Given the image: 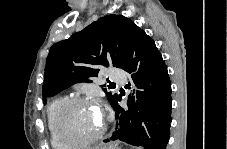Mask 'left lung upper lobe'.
I'll use <instances>...</instances> for the list:
<instances>
[{
  "label": "left lung upper lobe",
  "mask_w": 227,
  "mask_h": 149,
  "mask_svg": "<svg viewBox=\"0 0 227 149\" xmlns=\"http://www.w3.org/2000/svg\"><path fill=\"white\" fill-rule=\"evenodd\" d=\"M137 26L121 15H108L88 25L69 39L50 48L42 89L43 102L54 94L80 82H92L100 66L123 68L131 37ZM112 104L117 94L106 91Z\"/></svg>",
  "instance_id": "5c2ea615"
}]
</instances>
